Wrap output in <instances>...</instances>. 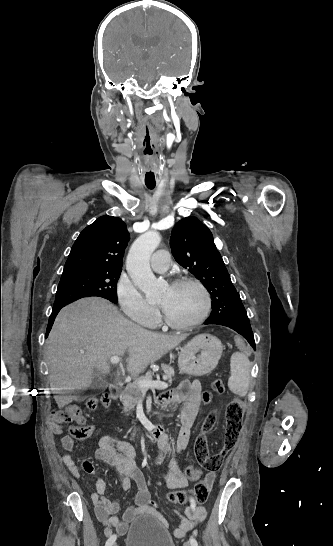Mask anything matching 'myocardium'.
I'll return each mask as SVG.
<instances>
[{"label": "myocardium", "mask_w": 333, "mask_h": 546, "mask_svg": "<svg viewBox=\"0 0 333 546\" xmlns=\"http://www.w3.org/2000/svg\"><path fill=\"white\" fill-rule=\"evenodd\" d=\"M182 285H193L200 290L204 300L200 314L196 319L190 322L179 323L172 320L162 309V319L164 323L170 328L176 330H190L199 326L207 319L212 309V298L207 287L199 279H196L194 277H180L172 282L171 287L176 288Z\"/></svg>", "instance_id": "myocardium-1"}]
</instances>
